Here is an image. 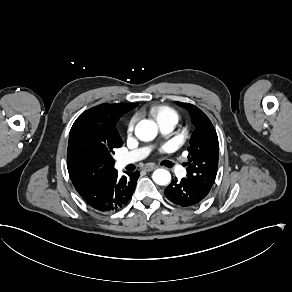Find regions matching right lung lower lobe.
Listing matches in <instances>:
<instances>
[{
	"label": "right lung lower lobe",
	"instance_id": "obj_1",
	"mask_svg": "<svg viewBox=\"0 0 292 292\" xmlns=\"http://www.w3.org/2000/svg\"><path fill=\"white\" fill-rule=\"evenodd\" d=\"M127 176L118 177L117 170L103 176H73L71 181L92 208L102 211H116L125 206L135 190L139 172H126Z\"/></svg>",
	"mask_w": 292,
	"mask_h": 292
}]
</instances>
